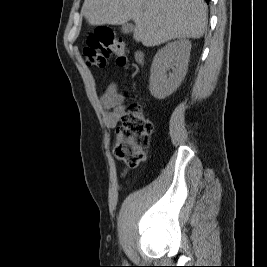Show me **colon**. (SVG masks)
Returning <instances> with one entry per match:
<instances>
[{
	"instance_id": "colon-1",
	"label": "colon",
	"mask_w": 267,
	"mask_h": 267,
	"mask_svg": "<svg viewBox=\"0 0 267 267\" xmlns=\"http://www.w3.org/2000/svg\"><path fill=\"white\" fill-rule=\"evenodd\" d=\"M85 62L90 67H105L111 55L116 56L120 67L128 63L124 42L109 28H98L86 41L83 49ZM153 131L152 122L146 118L142 106L136 102L129 105L117 129V142L114 147L116 158L129 168H135L145 158L149 137Z\"/></svg>"
}]
</instances>
